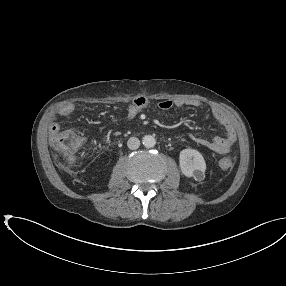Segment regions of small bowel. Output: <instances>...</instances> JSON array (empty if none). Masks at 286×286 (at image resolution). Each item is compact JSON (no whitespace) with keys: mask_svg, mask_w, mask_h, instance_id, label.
Segmentation results:
<instances>
[{"mask_svg":"<svg viewBox=\"0 0 286 286\" xmlns=\"http://www.w3.org/2000/svg\"><path fill=\"white\" fill-rule=\"evenodd\" d=\"M150 102L145 97H137L127 108V119H134L141 111L149 106ZM183 106L199 107L200 103L197 100H162L158 103L159 109L163 111L170 110L172 108H181ZM74 104H65L59 108L57 115L60 117H69L75 111ZM211 112L213 117L224 127L226 135L224 137H218L214 139H206L199 137L195 134H191L190 138L193 142L201 147L209 149L219 154L229 153L236 143V132L233 122L226 111L219 107H212ZM60 130V124L57 121H52L50 124L51 136Z\"/></svg>","mask_w":286,"mask_h":286,"instance_id":"obj_1","label":"small bowel"}]
</instances>
